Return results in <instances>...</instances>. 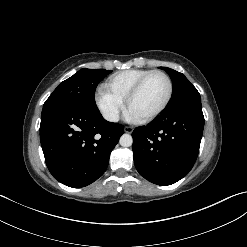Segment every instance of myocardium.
<instances>
[{"instance_id":"f54148a6","label":"myocardium","mask_w":247,"mask_h":247,"mask_svg":"<svg viewBox=\"0 0 247 247\" xmlns=\"http://www.w3.org/2000/svg\"><path fill=\"white\" fill-rule=\"evenodd\" d=\"M162 75L167 83H168V92H167V96L164 100V102L162 103V105L156 109L154 112H152L151 114L139 118V120L141 122H150L152 120H154L156 117H158L169 105L172 96H173V90H174V86H173V81L171 79V77L164 71L162 70H152L149 73H147L146 75H144L135 85L134 87L131 89V91L129 92V94L126 97L125 103H126V107L129 110L130 108V104L133 101V99L138 95V93L141 91L142 87L144 86V84L146 83V81L153 75Z\"/></svg>"}]
</instances>
